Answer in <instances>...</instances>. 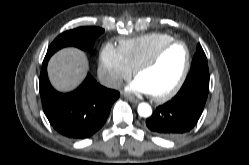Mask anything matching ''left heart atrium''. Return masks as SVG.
Listing matches in <instances>:
<instances>
[{
	"mask_svg": "<svg viewBox=\"0 0 249 165\" xmlns=\"http://www.w3.org/2000/svg\"><path fill=\"white\" fill-rule=\"evenodd\" d=\"M126 90L130 93L150 94L146 86L138 79H134L127 87Z\"/></svg>",
	"mask_w": 249,
	"mask_h": 165,
	"instance_id": "left-heart-atrium-1",
	"label": "left heart atrium"
}]
</instances>
